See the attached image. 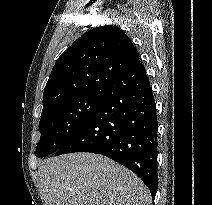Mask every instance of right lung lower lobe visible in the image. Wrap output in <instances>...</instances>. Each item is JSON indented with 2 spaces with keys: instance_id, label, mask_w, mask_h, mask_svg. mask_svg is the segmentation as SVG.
Here are the masks:
<instances>
[{
  "instance_id": "1",
  "label": "right lung lower lobe",
  "mask_w": 212,
  "mask_h": 205,
  "mask_svg": "<svg viewBox=\"0 0 212 205\" xmlns=\"http://www.w3.org/2000/svg\"><path fill=\"white\" fill-rule=\"evenodd\" d=\"M156 104L143 63L130 67L101 90V101L55 152H92L136 173L155 198L157 174Z\"/></svg>"
}]
</instances>
